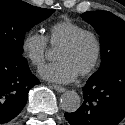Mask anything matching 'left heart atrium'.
Returning a JSON list of instances; mask_svg holds the SVG:
<instances>
[{
	"mask_svg": "<svg viewBox=\"0 0 125 125\" xmlns=\"http://www.w3.org/2000/svg\"><path fill=\"white\" fill-rule=\"evenodd\" d=\"M42 78L61 84H66L74 81L78 74L77 72L64 60L48 64L40 70Z\"/></svg>",
	"mask_w": 125,
	"mask_h": 125,
	"instance_id": "obj_1",
	"label": "left heart atrium"
}]
</instances>
